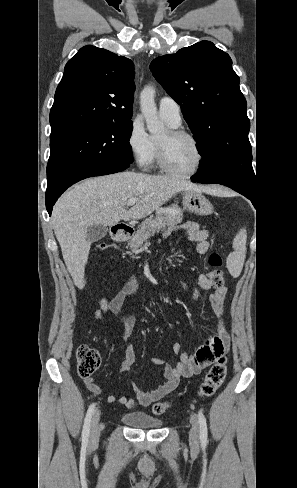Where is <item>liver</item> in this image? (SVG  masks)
I'll use <instances>...</instances> for the list:
<instances>
[{
    "mask_svg": "<svg viewBox=\"0 0 297 488\" xmlns=\"http://www.w3.org/2000/svg\"><path fill=\"white\" fill-rule=\"evenodd\" d=\"M181 191L211 192L177 176L132 171L87 179L67 191L54 206L52 225L67 270L77 288L85 286V265L91 247L87 230L94 224L112 226L120 220L142 219ZM131 198L139 201L130 209Z\"/></svg>",
    "mask_w": 297,
    "mask_h": 488,
    "instance_id": "liver-1",
    "label": "liver"
}]
</instances>
